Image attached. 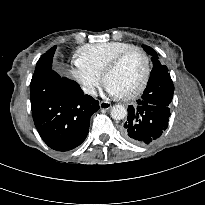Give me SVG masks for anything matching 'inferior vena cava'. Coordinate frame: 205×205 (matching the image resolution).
<instances>
[{
  "instance_id": "inferior-vena-cava-1",
  "label": "inferior vena cava",
  "mask_w": 205,
  "mask_h": 205,
  "mask_svg": "<svg viewBox=\"0 0 205 205\" xmlns=\"http://www.w3.org/2000/svg\"><path fill=\"white\" fill-rule=\"evenodd\" d=\"M82 90L85 94L91 95V96H97V92L95 87L93 86H83Z\"/></svg>"
}]
</instances>
